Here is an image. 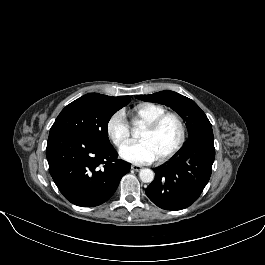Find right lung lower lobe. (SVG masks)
<instances>
[{
  "instance_id": "right-lung-lower-lobe-1",
  "label": "right lung lower lobe",
  "mask_w": 265,
  "mask_h": 265,
  "mask_svg": "<svg viewBox=\"0 0 265 265\" xmlns=\"http://www.w3.org/2000/svg\"><path fill=\"white\" fill-rule=\"evenodd\" d=\"M46 157L49 172L71 203L94 207L116 191L130 164L117 159L111 144L77 132H58L48 137Z\"/></svg>"
}]
</instances>
